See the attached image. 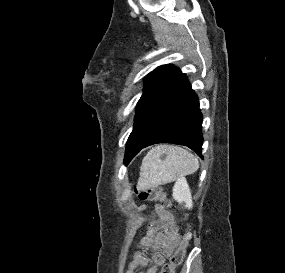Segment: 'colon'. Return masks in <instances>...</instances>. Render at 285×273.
<instances>
[{
  "label": "colon",
  "mask_w": 285,
  "mask_h": 273,
  "mask_svg": "<svg viewBox=\"0 0 285 273\" xmlns=\"http://www.w3.org/2000/svg\"><path fill=\"white\" fill-rule=\"evenodd\" d=\"M134 192L141 201H166L165 192L156 186L144 187L140 184L134 186ZM188 246V236L183 235L179 247L160 270V273H175L184 260Z\"/></svg>",
  "instance_id": "colon-1"
}]
</instances>
